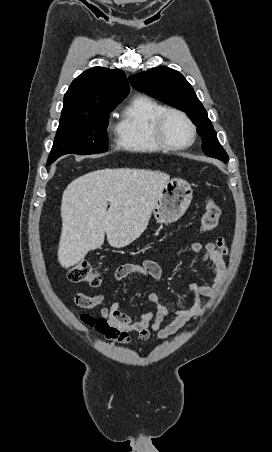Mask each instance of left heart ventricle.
Here are the masks:
<instances>
[{"mask_svg":"<svg viewBox=\"0 0 272 452\" xmlns=\"http://www.w3.org/2000/svg\"><path fill=\"white\" fill-rule=\"evenodd\" d=\"M164 131L168 140L174 144L186 143L190 139V130L179 115L170 113L164 121Z\"/></svg>","mask_w":272,"mask_h":452,"instance_id":"left-heart-ventricle-1","label":"left heart ventricle"}]
</instances>
